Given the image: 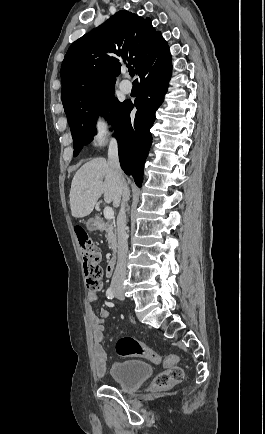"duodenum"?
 Returning a JSON list of instances; mask_svg holds the SVG:
<instances>
[{
  "label": "duodenum",
  "mask_w": 265,
  "mask_h": 434,
  "mask_svg": "<svg viewBox=\"0 0 265 434\" xmlns=\"http://www.w3.org/2000/svg\"><path fill=\"white\" fill-rule=\"evenodd\" d=\"M106 228H107V231H109L111 233V231H112L111 227H106ZM116 264H117V259L115 257L110 259V261L106 264L105 271H106L107 276L113 275Z\"/></svg>",
  "instance_id": "duodenum-1"
}]
</instances>
